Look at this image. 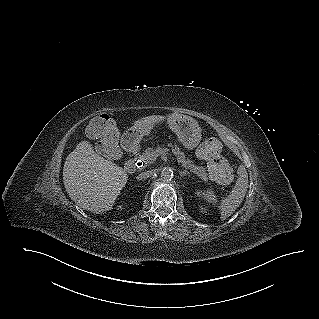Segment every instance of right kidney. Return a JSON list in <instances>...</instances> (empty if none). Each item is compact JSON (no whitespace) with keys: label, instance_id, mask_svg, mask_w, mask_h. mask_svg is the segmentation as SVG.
Wrapping results in <instances>:
<instances>
[{"label":"right kidney","instance_id":"obj_1","mask_svg":"<svg viewBox=\"0 0 319 319\" xmlns=\"http://www.w3.org/2000/svg\"><path fill=\"white\" fill-rule=\"evenodd\" d=\"M118 210H122V205H119V206H118Z\"/></svg>","mask_w":319,"mask_h":319}]
</instances>
